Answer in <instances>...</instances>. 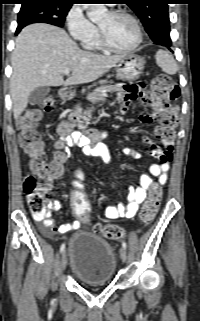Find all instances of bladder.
I'll return each instance as SVG.
<instances>
[{"label": "bladder", "instance_id": "31cf9c89", "mask_svg": "<svg viewBox=\"0 0 200 321\" xmlns=\"http://www.w3.org/2000/svg\"><path fill=\"white\" fill-rule=\"evenodd\" d=\"M69 266L83 283H108L116 271V256L111 245L101 237L77 231L68 240Z\"/></svg>", "mask_w": 200, "mask_h": 321}]
</instances>
